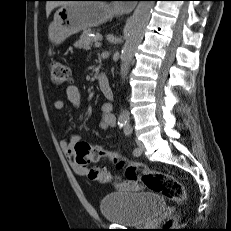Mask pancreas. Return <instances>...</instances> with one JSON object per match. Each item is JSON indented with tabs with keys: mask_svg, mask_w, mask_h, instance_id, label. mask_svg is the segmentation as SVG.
<instances>
[{
	"mask_svg": "<svg viewBox=\"0 0 231 231\" xmlns=\"http://www.w3.org/2000/svg\"><path fill=\"white\" fill-rule=\"evenodd\" d=\"M90 33H92L91 30L83 31L82 35L80 36V39L75 43V46L85 50L91 49L92 44L100 40L101 37L98 33H95L96 37L93 38L90 36Z\"/></svg>",
	"mask_w": 231,
	"mask_h": 231,
	"instance_id": "cf45deb5",
	"label": "pancreas"
}]
</instances>
